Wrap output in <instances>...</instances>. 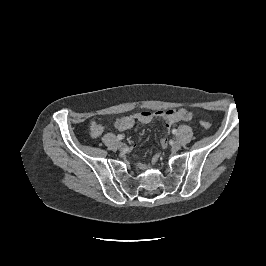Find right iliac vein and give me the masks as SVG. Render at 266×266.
Instances as JSON below:
<instances>
[{"label":"right iliac vein","mask_w":266,"mask_h":266,"mask_svg":"<svg viewBox=\"0 0 266 266\" xmlns=\"http://www.w3.org/2000/svg\"><path fill=\"white\" fill-rule=\"evenodd\" d=\"M117 147H118L119 150H123V149H125V144L123 142H119L117 144Z\"/></svg>","instance_id":"1"}]
</instances>
